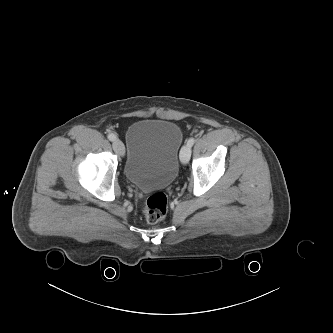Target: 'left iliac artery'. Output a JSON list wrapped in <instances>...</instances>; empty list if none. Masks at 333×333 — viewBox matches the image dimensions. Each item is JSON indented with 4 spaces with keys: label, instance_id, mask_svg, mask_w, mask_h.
Masks as SVG:
<instances>
[{
    "label": "left iliac artery",
    "instance_id": "obj_1",
    "mask_svg": "<svg viewBox=\"0 0 333 333\" xmlns=\"http://www.w3.org/2000/svg\"><path fill=\"white\" fill-rule=\"evenodd\" d=\"M195 143V139L194 138H190L187 142V145H189L190 147L193 146V144Z\"/></svg>",
    "mask_w": 333,
    "mask_h": 333
}]
</instances>
